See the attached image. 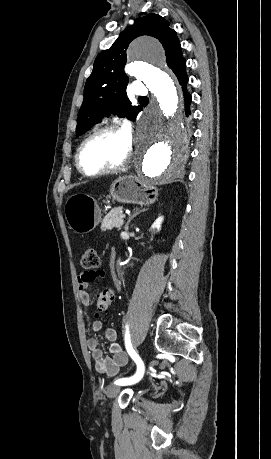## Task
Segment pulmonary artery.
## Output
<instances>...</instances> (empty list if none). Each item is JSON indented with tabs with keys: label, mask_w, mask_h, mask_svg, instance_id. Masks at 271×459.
<instances>
[{
	"label": "pulmonary artery",
	"mask_w": 271,
	"mask_h": 459,
	"mask_svg": "<svg viewBox=\"0 0 271 459\" xmlns=\"http://www.w3.org/2000/svg\"><path fill=\"white\" fill-rule=\"evenodd\" d=\"M135 95L137 98H144L148 95V92L145 90L144 83L142 81H137L135 83Z\"/></svg>",
	"instance_id": "1"
}]
</instances>
